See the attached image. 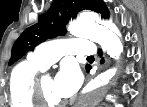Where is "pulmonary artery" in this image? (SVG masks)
<instances>
[{
    "label": "pulmonary artery",
    "mask_w": 147,
    "mask_h": 107,
    "mask_svg": "<svg viewBox=\"0 0 147 107\" xmlns=\"http://www.w3.org/2000/svg\"><path fill=\"white\" fill-rule=\"evenodd\" d=\"M95 44L85 39H60L40 45L30 54L31 60L48 68L64 54L94 55Z\"/></svg>",
    "instance_id": "1"
}]
</instances>
